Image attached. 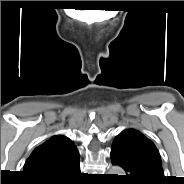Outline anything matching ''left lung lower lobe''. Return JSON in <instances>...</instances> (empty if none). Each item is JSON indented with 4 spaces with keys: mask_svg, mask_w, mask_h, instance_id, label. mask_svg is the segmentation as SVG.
<instances>
[{
    "mask_svg": "<svg viewBox=\"0 0 184 184\" xmlns=\"http://www.w3.org/2000/svg\"><path fill=\"white\" fill-rule=\"evenodd\" d=\"M110 157L112 164L119 165L125 170L126 175L122 176V181L127 184H161L164 181L117 146L112 145Z\"/></svg>",
    "mask_w": 184,
    "mask_h": 184,
    "instance_id": "obj_1",
    "label": "left lung lower lobe"
}]
</instances>
